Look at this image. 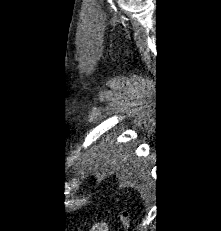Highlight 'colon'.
I'll use <instances>...</instances> for the list:
<instances>
[{"instance_id": "1", "label": "colon", "mask_w": 221, "mask_h": 231, "mask_svg": "<svg viewBox=\"0 0 221 231\" xmlns=\"http://www.w3.org/2000/svg\"><path fill=\"white\" fill-rule=\"evenodd\" d=\"M119 218L124 229L129 225V213L126 210H121L119 213Z\"/></svg>"}]
</instances>
